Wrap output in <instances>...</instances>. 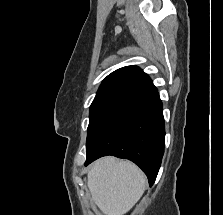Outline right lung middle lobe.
<instances>
[{
	"mask_svg": "<svg viewBox=\"0 0 223 215\" xmlns=\"http://www.w3.org/2000/svg\"><path fill=\"white\" fill-rule=\"evenodd\" d=\"M145 98L125 91L96 96L90 106L86 154L90 153L107 133Z\"/></svg>",
	"mask_w": 223,
	"mask_h": 215,
	"instance_id": "1",
	"label": "right lung middle lobe"
}]
</instances>
